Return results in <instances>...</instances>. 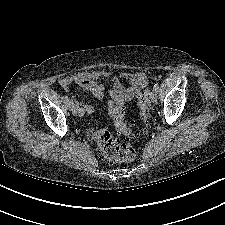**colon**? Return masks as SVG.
<instances>
[{
    "mask_svg": "<svg viewBox=\"0 0 225 225\" xmlns=\"http://www.w3.org/2000/svg\"><path fill=\"white\" fill-rule=\"evenodd\" d=\"M149 90L146 89L138 97V107L141 119L144 123L142 129L136 131L125 122V111L121 107H113L109 110L114 126L119 134L126 138H137L149 131V123L152 118V110L148 101ZM93 139L110 163L129 162L135 159L136 149L130 143H120L107 128H101L93 133Z\"/></svg>",
    "mask_w": 225,
    "mask_h": 225,
    "instance_id": "colon-1",
    "label": "colon"
}]
</instances>
